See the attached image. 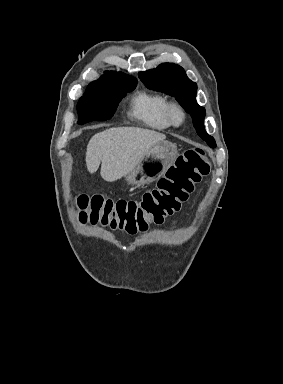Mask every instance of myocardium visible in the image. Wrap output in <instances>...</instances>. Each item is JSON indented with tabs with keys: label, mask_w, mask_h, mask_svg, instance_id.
<instances>
[{
	"label": "myocardium",
	"mask_w": 283,
	"mask_h": 384,
	"mask_svg": "<svg viewBox=\"0 0 283 384\" xmlns=\"http://www.w3.org/2000/svg\"><path fill=\"white\" fill-rule=\"evenodd\" d=\"M165 117L170 126L180 127L186 120V112L179 103L169 102L165 110Z\"/></svg>",
	"instance_id": "obj_1"
}]
</instances>
